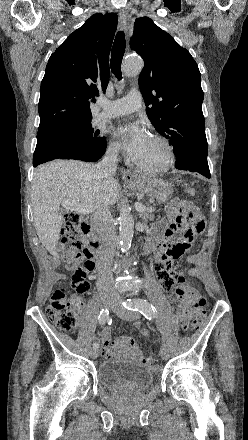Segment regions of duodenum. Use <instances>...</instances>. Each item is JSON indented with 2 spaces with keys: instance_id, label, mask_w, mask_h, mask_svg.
Wrapping results in <instances>:
<instances>
[{
  "instance_id": "duodenum-1",
  "label": "duodenum",
  "mask_w": 248,
  "mask_h": 440,
  "mask_svg": "<svg viewBox=\"0 0 248 440\" xmlns=\"http://www.w3.org/2000/svg\"><path fill=\"white\" fill-rule=\"evenodd\" d=\"M83 232L86 237L87 244L97 257L98 263L102 260V247L99 239L91 232V227L88 221L83 222ZM150 250L155 251L154 247H150Z\"/></svg>"
}]
</instances>
